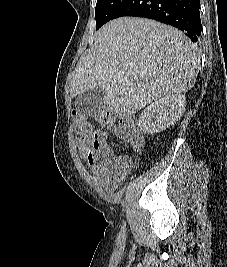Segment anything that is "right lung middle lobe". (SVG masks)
Here are the masks:
<instances>
[{
    "mask_svg": "<svg viewBox=\"0 0 227 267\" xmlns=\"http://www.w3.org/2000/svg\"><path fill=\"white\" fill-rule=\"evenodd\" d=\"M128 0H97L95 8L96 30L103 24L113 19L116 12Z\"/></svg>",
    "mask_w": 227,
    "mask_h": 267,
    "instance_id": "obj_1",
    "label": "right lung middle lobe"
}]
</instances>
